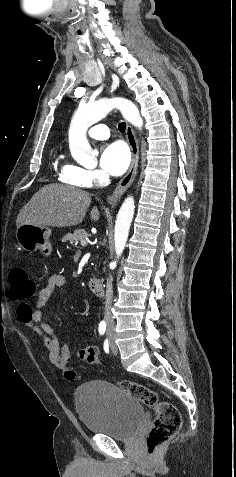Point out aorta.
Masks as SVG:
<instances>
[{"instance_id":"aorta-1","label":"aorta","mask_w":236,"mask_h":477,"mask_svg":"<svg viewBox=\"0 0 236 477\" xmlns=\"http://www.w3.org/2000/svg\"><path fill=\"white\" fill-rule=\"evenodd\" d=\"M115 108L119 109L123 117L136 128H142L143 119L140 116L139 109L128 99L120 97L105 98L82 104L75 112L69 129V147L75 159L82 163L96 160L98 152L91 148L86 132L91 125L106 117ZM134 209V198L129 196L124 200L118 212L114 230L117 257L121 256L126 246Z\"/></svg>"}]
</instances>
